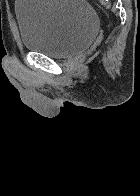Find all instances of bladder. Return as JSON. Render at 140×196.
Segmentation results:
<instances>
[{"label":"bladder","instance_id":"31cf9c89","mask_svg":"<svg viewBox=\"0 0 140 196\" xmlns=\"http://www.w3.org/2000/svg\"><path fill=\"white\" fill-rule=\"evenodd\" d=\"M14 13L24 49L52 59L84 52L99 30L85 0H15Z\"/></svg>","mask_w":140,"mask_h":196}]
</instances>
